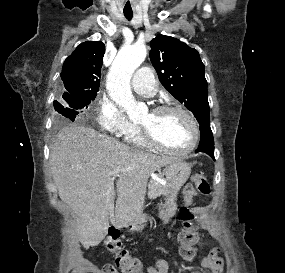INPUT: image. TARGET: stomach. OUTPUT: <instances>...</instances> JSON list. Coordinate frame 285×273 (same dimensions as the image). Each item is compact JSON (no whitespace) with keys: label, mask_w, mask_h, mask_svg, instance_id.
<instances>
[{"label":"stomach","mask_w":285,"mask_h":273,"mask_svg":"<svg viewBox=\"0 0 285 273\" xmlns=\"http://www.w3.org/2000/svg\"><path fill=\"white\" fill-rule=\"evenodd\" d=\"M163 173L170 186V195L166 199L165 204L162 205V209L160 211V217L166 219L169 216L170 211L176 207L175 201L178 191L188 180L191 174V166L181 160H175L165 166ZM145 221L146 218L144 216L141 219L129 223L128 226H133L135 229H142Z\"/></svg>","instance_id":"obj_1"}]
</instances>
